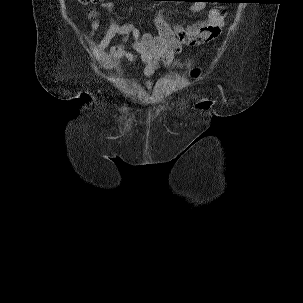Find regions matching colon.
Masks as SVG:
<instances>
[{
    "mask_svg": "<svg viewBox=\"0 0 303 303\" xmlns=\"http://www.w3.org/2000/svg\"><path fill=\"white\" fill-rule=\"evenodd\" d=\"M94 1L95 0H80V2L82 4H84V5H88V4H90V3L94 2ZM196 74H197V72L194 73V75H196Z\"/></svg>",
    "mask_w": 303,
    "mask_h": 303,
    "instance_id": "5ec220e1",
    "label": "colon"
}]
</instances>
